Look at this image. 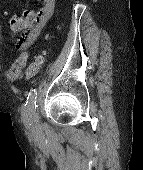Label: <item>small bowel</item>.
<instances>
[{"label":"small bowel","mask_w":143,"mask_h":170,"mask_svg":"<svg viewBox=\"0 0 143 170\" xmlns=\"http://www.w3.org/2000/svg\"><path fill=\"white\" fill-rule=\"evenodd\" d=\"M42 2V7L38 10L32 21L25 27H15L10 25L12 31H22L25 33L23 37L17 41L16 47L21 50L20 55L14 60L10 68L6 72V76L10 81H18L23 76V69L27 65L28 54L26 49L30 47L37 37L39 36L41 30L47 23V21L52 17L55 9V0H40ZM13 22H24L22 16L14 17L10 19V23Z\"/></svg>","instance_id":"c3829d8e"}]
</instances>
